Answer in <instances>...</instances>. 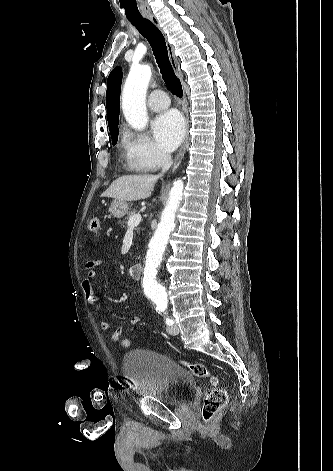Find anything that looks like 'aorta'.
Instances as JSON below:
<instances>
[{
    "label": "aorta",
    "instance_id": "762f6f07",
    "mask_svg": "<svg viewBox=\"0 0 333 471\" xmlns=\"http://www.w3.org/2000/svg\"><path fill=\"white\" fill-rule=\"evenodd\" d=\"M151 76L152 70L149 65H133L123 87V114L128 124L136 130H143L148 124L145 99ZM183 187V181L180 179L173 184L158 227L150 240L145 259L143 285L157 307L163 309L168 303L167 292L156 280V274L170 233L175 228V216L182 199Z\"/></svg>",
    "mask_w": 333,
    "mask_h": 471
}]
</instances>
